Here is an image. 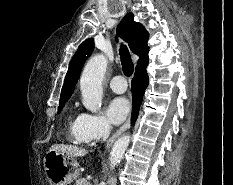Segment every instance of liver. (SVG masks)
I'll list each match as a JSON object with an SVG mask.
<instances>
[{
  "mask_svg": "<svg viewBox=\"0 0 233 185\" xmlns=\"http://www.w3.org/2000/svg\"><path fill=\"white\" fill-rule=\"evenodd\" d=\"M50 150H54L66 154L71 158L82 157L88 153V151L84 148H79L77 146L65 145V144H54L51 146Z\"/></svg>",
  "mask_w": 233,
  "mask_h": 185,
  "instance_id": "6515ba94",
  "label": "liver"
}]
</instances>
